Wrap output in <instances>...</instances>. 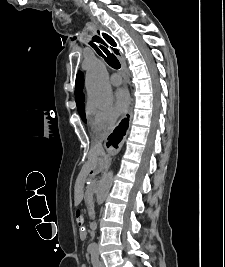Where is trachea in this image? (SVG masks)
I'll return each mask as SVG.
<instances>
[{
    "instance_id": "1",
    "label": "trachea",
    "mask_w": 225,
    "mask_h": 267,
    "mask_svg": "<svg viewBox=\"0 0 225 267\" xmlns=\"http://www.w3.org/2000/svg\"><path fill=\"white\" fill-rule=\"evenodd\" d=\"M109 37V41L106 39V41L112 45V46H116L115 41L110 37ZM90 45L95 49V51L102 56L105 61L107 62V64L109 66H111L114 69H119L120 68V63L117 59V57L111 53L108 50V45L103 41L102 38H100L99 36L95 35L93 36ZM115 53H118V50L113 49Z\"/></svg>"
}]
</instances>
